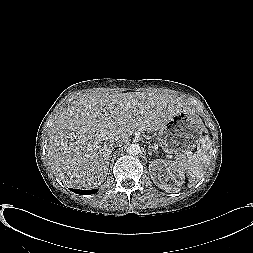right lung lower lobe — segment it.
Wrapping results in <instances>:
<instances>
[{"label":"right lung lower lobe","mask_w":253,"mask_h":253,"mask_svg":"<svg viewBox=\"0 0 253 253\" xmlns=\"http://www.w3.org/2000/svg\"><path fill=\"white\" fill-rule=\"evenodd\" d=\"M73 192L76 194H82V195H90L94 194L98 191V189H93V190H79V189H72Z\"/></svg>","instance_id":"1"}]
</instances>
